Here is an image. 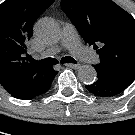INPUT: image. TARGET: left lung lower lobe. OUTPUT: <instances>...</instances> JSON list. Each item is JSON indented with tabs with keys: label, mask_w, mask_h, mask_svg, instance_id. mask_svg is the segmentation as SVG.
<instances>
[{
	"label": "left lung lower lobe",
	"mask_w": 135,
	"mask_h": 135,
	"mask_svg": "<svg viewBox=\"0 0 135 135\" xmlns=\"http://www.w3.org/2000/svg\"><path fill=\"white\" fill-rule=\"evenodd\" d=\"M130 84L118 81L111 76L97 71V80L86 85V89L99 97H112L123 92Z\"/></svg>",
	"instance_id": "left-lung-lower-lobe-1"
}]
</instances>
